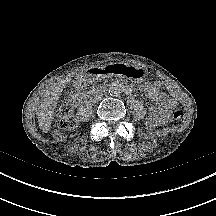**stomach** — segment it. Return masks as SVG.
<instances>
[{
	"instance_id": "1",
	"label": "stomach",
	"mask_w": 216,
	"mask_h": 216,
	"mask_svg": "<svg viewBox=\"0 0 216 216\" xmlns=\"http://www.w3.org/2000/svg\"><path fill=\"white\" fill-rule=\"evenodd\" d=\"M107 73L110 76L118 78H128L135 82H141L146 78V71L142 68L128 65H110L107 68Z\"/></svg>"
}]
</instances>
